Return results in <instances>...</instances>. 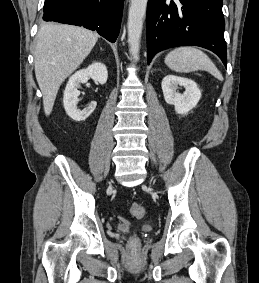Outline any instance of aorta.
I'll return each instance as SVG.
<instances>
[{
    "instance_id": "762f6f07",
    "label": "aorta",
    "mask_w": 259,
    "mask_h": 283,
    "mask_svg": "<svg viewBox=\"0 0 259 283\" xmlns=\"http://www.w3.org/2000/svg\"><path fill=\"white\" fill-rule=\"evenodd\" d=\"M148 0H131L128 14V44L132 59L137 62L140 39Z\"/></svg>"
}]
</instances>
